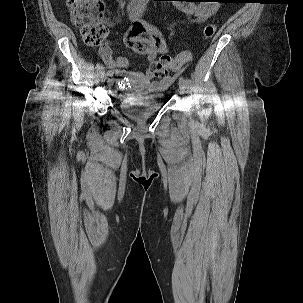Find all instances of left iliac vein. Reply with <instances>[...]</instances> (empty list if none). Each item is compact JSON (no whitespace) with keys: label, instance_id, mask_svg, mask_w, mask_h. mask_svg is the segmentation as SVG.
<instances>
[{"label":"left iliac vein","instance_id":"obj_1","mask_svg":"<svg viewBox=\"0 0 303 303\" xmlns=\"http://www.w3.org/2000/svg\"><path fill=\"white\" fill-rule=\"evenodd\" d=\"M179 91L182 94L186 92V84L184 78H180L179 80Z\"/></svg>","mask_w":303,"mask_h":303}]
</instances>
